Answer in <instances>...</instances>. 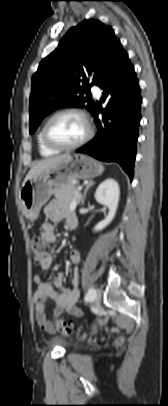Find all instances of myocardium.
I'll list each match as a JSON object with an SVG mask.
<instances>
[{
  "label": "myocardium",
  "mask_w": 168,
  "mask_h": 406,
  "mask_svg": "<svg viewBox=\"0 0 168 406\" xmlns=\"http://www.w3.org/2000/svg\"><path fill=\"white\" fill-rule=\"evenodd\" d=\"M66 113H74V114L79 115L83 119V121L85 123L86 132H85L84 136L80 140H78L77 142H75L73 144H69V145H60V144H57V143L53 142L50 139V137L48 135V127H49L50 123L56 117H58V116H60L62 114H66ZM41 134H42L43 142L49 148L54 149V150H59V151L72 150V149H76V148L81 147L82 145H84L91 138V136L93 134V127H92L90 118H89L88 114L85 111H83L82 109L77 108V107H65V108H62V109L56 111L55 113H53L47 119V121L45 122V124L42 127Z\"/></svg>",
  "instance_id": "myocardium-1"
}]
</instances>
